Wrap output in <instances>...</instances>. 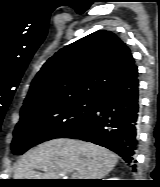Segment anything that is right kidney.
I'll list each match as a JSON object with an SVG mask.
<instances>
[{"label": "right kidney", "instance_id": "obj_1", "mask_svg": "<svg viewBox=\"0 0 160 187\" xmlns=\"http://www.w3.org/2000/svg\"><path fill=\"white\" fill-rule=\"evenodd\" d=\"M109 180H117V178H110Z\"/></svg>", "mask_w": 160, "mask_h": 187}]
</instances>
